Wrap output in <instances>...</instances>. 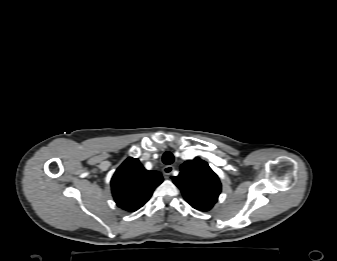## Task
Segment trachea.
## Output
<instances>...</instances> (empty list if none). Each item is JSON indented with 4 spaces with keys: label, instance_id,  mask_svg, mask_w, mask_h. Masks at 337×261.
I'll return each instance as SVG.
<instances>
[{
    "label": "trachea",
    "instance_id": "3493384b",
    "mask_svg": "<svg viewBox=\"0 0 337 261\" xmlns=\"http://www.w3.org/2000/svg\"><path fill=\"white\" fill-rule=\"evenodd\" d=\"M162 161L166 165H170L174 162V156L171 152H165L162 157Z\"/></svg>",
    "mask_w": 337,
    "mask_h": 261
}]
</instances>
